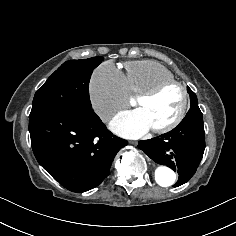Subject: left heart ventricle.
<instances>
[{"instance_id": "obj_1", "label": "left heart ventricle", "mask_w": 236, "mask_h": 236, "mask_svg": "<svg viewBox=\"0 0 236 236\" xmlns=\"http://www.w3.org/2000/svg\"><path fill=\"white\" fill-rule=\"evenodd\" d=\"M132 101L143 111L150 128L153 129L165 126L177 117L182 106V95L176 87H171L151 100Z\"/></svg>"}]
</instances>
